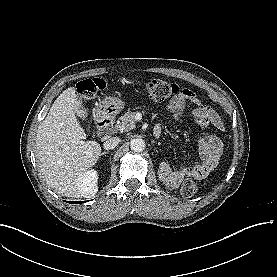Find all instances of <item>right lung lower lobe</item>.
I'll use <instances>...</instances> for the list:
<instances>
[{"mask_svg": "<svg viewBox=\"0 0 277 277\" xmlns=\"http://www.w3.org/2000/svg\"><path fill=\"white\" fill-rule=\"evenodd\" d=\"M83 202H85V201H74V202H72V203L77 204V203H83Z\"/></svg>", "mask_w": 277, "mask_h": 277, "instance_id": "98d812e1", "label": "right lung lower lobe"}]
</instances>
